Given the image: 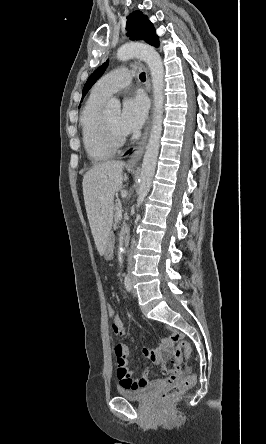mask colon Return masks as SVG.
I'll list each match as a JSON object with an SVG mask.
<instances>
[{
	"instance_id": "5ec220e1",
	"label": "colon",
	"mask_w": 266,
	"mask_h": 444,
	"mask_svg": "<svg viewBox=\"0 0 266 444\" xmlns=\"http://www.w3.org/2000/svg\"><path fill=\"white\" fill-rule=\"evenodd\" d=\"M106 312L109 318L113 319L118 314L111 303H107ZM191 354L190 344L185 340H180L177 342L173 356L174 359L172 363L179 364L183 358L188 359ZM196 381L195 375H188L180 380L175 381L172 385H170L161 395V402H167L172 398L179 395L184 390L191 388Z\"/></svg>"
}]
</instances>
